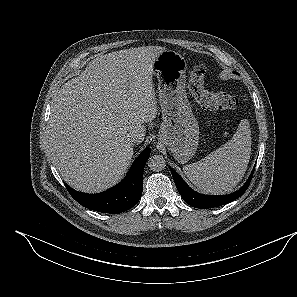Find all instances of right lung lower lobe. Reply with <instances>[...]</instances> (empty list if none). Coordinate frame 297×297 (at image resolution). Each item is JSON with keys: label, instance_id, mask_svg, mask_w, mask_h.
<instances>
[{"label": "right lung lower lobe", "instance_id": "right-lung-lower-lobe-1", "mask_svg": "<svg viewBox=\"0 0 297 297\" xmlns=\"http://www.w3.org/2000/svg\"><path fill=\"white\" fill-rule=\"evenodd\" d=\"M150 148H145L132 164L127 176L118 185L98 194L75 191L65 184L71 196L82 206L110 214L124 212L137 204L143 191V170L150 156Z\"/></svg>", "mask_w": 297, "mask_h": 297}]
</instances>
